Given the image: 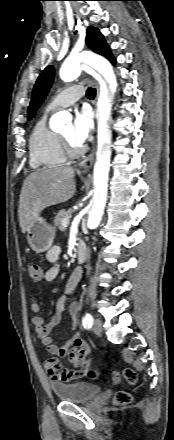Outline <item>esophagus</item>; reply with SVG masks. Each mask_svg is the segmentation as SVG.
Segmentation results:
<instances>
[{"label": "esophagus", "instance_id": "esophagus-1", "mask_svg": "<svg viewBox=\"0 0 174 440\" xmlns=\"http://www.w3.org/2000/svg\"><path fill=\"white\" fill-rule=\"evenodd\" d=\"M98 95H99V86L97 85L96 98H98ZM94 158H95V145L93 146L92 151L83 160H81L78 165L79 166L78 169L82 174H87L90 171L94 162Z\"/></svg>", "mask_w": 174, "mask_h": 440}]
</instances>
